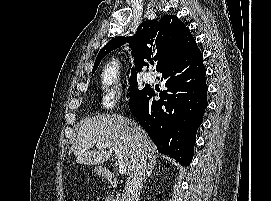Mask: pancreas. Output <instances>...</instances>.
I'll return each mask as SVG.
<instances>
[{"instance_id": "pancreas-1", "label": "pancreas", "mask_w": 271, "mask_h": 201, "mask_svg": "<svg viewBox=\"0 0 271 201\" xmlns=\"http://www.w3.org/2000/svg\"><path fill=\"white\" fill-rule=\"evenodd\" d=\"M106 201H121L120 200V195L119 194H116V196H108L106 198Z\"/></svg>"}]
</instances>
